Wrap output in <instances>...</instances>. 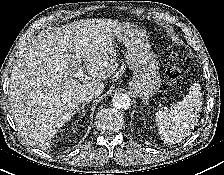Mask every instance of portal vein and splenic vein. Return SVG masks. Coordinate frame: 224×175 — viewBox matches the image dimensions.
Segmentation results:
<instances>
[{
	"mask_svg": "<svg viewBox=\"0 0 224 175\" xmlns=\"http://www.w3.org/2000/svg\"><path fill=\"white\" fill-rule=\"evenodd\" d=\"M83 76H84V71H83L82 68H79V69L76 71V73L74 74V77H76V78H81V77H83Z\"/></svg>",
	"mask_w": 224,
	"mask_h": 175,
	"instance_id": "18ae733b",
	"label": "portal vein and splenic vein"
}]
</instances>
